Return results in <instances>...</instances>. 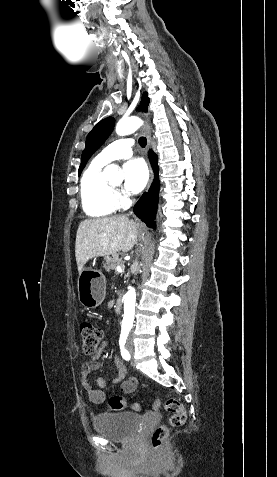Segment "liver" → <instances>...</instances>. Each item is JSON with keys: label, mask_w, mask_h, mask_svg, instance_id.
<instances>
[{"label": "liver", "mask_w": 277, "mask_h": 477, "mask_svg": "<svg viewBox=\"0 0 277 477\" xmlns=\"http://www.w3.org/2000/svg\"><path fill=\"white\" fill-rule=\"evenodd\" d=\"M140 225L127 216L83 220L78 227L75 256L79 273L94 257L128 252L138 242Z\"/></svg>", "instance_id": "1"}]
</instances>
